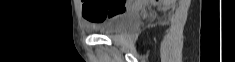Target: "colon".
Instances as JSON below:
<instances>
[{"label": "colon", "mask_w": 235, "mask_h": 62, "mask_svg": "<svg viewBox=\"0 0 235 62\" xmlns=\"http://www.w3.org/2000/svg\"><path fill=\"white\" fill-rule=\"evenodd\" d=\"M126 0H87L83 5V16L98 24L126 9Z\"/></svg>", "instance_id": "obj_1"}]
</instances>
